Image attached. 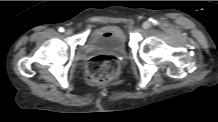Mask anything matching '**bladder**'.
<instances>
[{"label": "bladder", "mask_w": 218, "mask_h": 122, "mask_svg": "<svg viewBox=\"0 0 218 122\" xmlns=\"http://www.w3.org/2000/svg\"><path fill=\"white\" fill-rule=\"evenodd\" d=\"M86 47L90 50L123 53L126 48L125 34L118 26H103L91 32Z\"/></svg>", "instance_id": "1"}]
</instances>
